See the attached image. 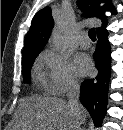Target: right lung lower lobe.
Here are the masks:
<instances>
[{"label": "right lung lower lobe", "instance_id": "obj_1", "mask_svg": "<svg viewBox=\"0 0 123 130\" xmlns=\"http://www.w3.org/2000/svg\"><path fill=\"white\" fill-rule=\"evenodd\" d=\"M98 43L94 60L98 75L94 79L85 80L81 84L80 101L89 111L95 126H101L106 105L107 92L111 72V50L106 29L97 33Z\"/></svg>", "mask_w": 123, "mask_h": 130}]
</instances>
